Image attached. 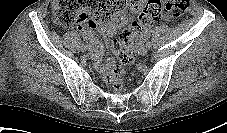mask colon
Returning a JSON list of instances; mask_svg holds the SVG:
<instances>
[{"label":"colon","mask_w":227,"mask_h":133,"mask_svg":"<svg viewBox=\"0 0 227 133\" xmlns=\"http://www.w3.org/2000/svg\"><path fill=\"white\" fill-rule=\"evenodd\" d=\"M129 0H54L52 14L59 26L73 24L94 27L96 22H104L115 11L127 5ZM189 0H147L137 7L139 15L129 31L113 41V51L120 64H110L104 71L103 81L119 90L123 86L124 67L134 59V42L139 35L159 21L162 16L179 17L189 8Z\"/></svg>","instance_id":"obj_1"}]
</instances>
